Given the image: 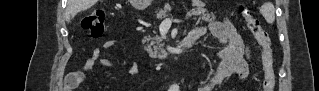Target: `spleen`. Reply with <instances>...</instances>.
Instances as JSON below:
<instances>
[{"instance_id": "1", "label": "spleen", "mask_w": 319, "mask_h": 91, "mask_svg": "<svg viewBox=\"0 0 319 91\" xmlns=\"http://www.w3.org/2000/svg\"><path fill=\"white\" fill-rule=\"evenodd\" d=\"M262 16L265 18L266 22L273 24L275 21V8L271 2H266L260 8Z\"/></svg>"}]
</instances>
